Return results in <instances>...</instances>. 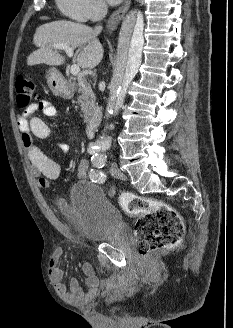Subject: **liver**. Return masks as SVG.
<instances>
[{"mask_svg": "<svg viewBox=\"0 0 233 328\" xmlns=\"http://www.w3.org/2000/svg\"><path fill=\"white\" fill-rule=\"evenodd\" d=\"M100 32L91 27L71 21H54L36 29L34 45L38 48L27 58V65L47 64L59 66L65 62L62 49H56L54 44H63L73 49L85 45L77 56V65L92 69L100 63L104 50L97 39Z\"/></svg>", "mask_w": 233, "mask_h": 328, "instance_id": "6515ba94", "label": "liver"}]
</instances>
